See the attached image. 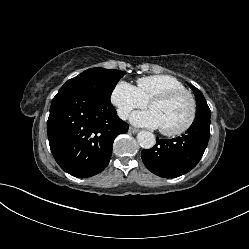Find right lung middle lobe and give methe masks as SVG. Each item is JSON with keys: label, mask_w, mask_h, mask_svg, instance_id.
Returning <instances> with one entry per match:
<instances>
[{"label": "right lung middle lobe", "mask_w": 249, "mask_h": 249, "mask_svg": "<svg viewBox=\"0 0 249 249\" xmlns=\"http://www.w3.org/2000/svg\"><path fill=\"white\" fill-rule=\"evenodd\" d=\"M125 75L119 70L100 67L90 68L68 80L61 88H76L87 91L98 99L110 102V97L117 82Z\"/></svg>", "instance_id": "dd1d6c3e"}]
</instances>
